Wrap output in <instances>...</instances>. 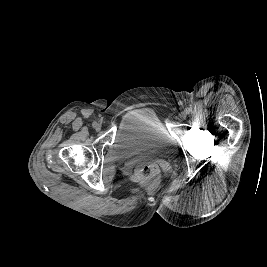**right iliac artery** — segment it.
Listing matches in <instances>:
<instances>
[{
  "mask_svg": "<svg viewBox=\"0 0 267 267\" xmlns=\"http://www.w3.org/2000/svg\"><path fill=\"white\" fill-rule=\"evenodd\" d=\"M92 125H93V127H95V126L97 125V123H96V122H93V124H92Z\"/></svg>",
  "mask_w": 267,
  "mask_h": 267,
  "instance_id": "82829eb1",
  "label": "right iliac artery"
}]
</instances>
